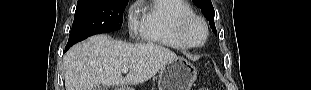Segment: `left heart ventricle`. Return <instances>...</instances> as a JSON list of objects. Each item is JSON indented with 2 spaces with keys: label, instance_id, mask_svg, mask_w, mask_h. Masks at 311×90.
Instances as JSON below:
<instances>
[{
  "label": "left heart ventricle",
  "instance_id": "1",
  "mask_svg": "<svg viewBox=\"0 0 311 90\" xmlns=\"http://www.w3.org/2000/svg\"><path fill=\"white\" fill-rule=\"evenodd\" d=\"M203 28L200 24L195 23L190 27L189 35L195 42H200L203 38Z\"/></svg>",
  "mask_w": 311,
  "mask_h": 90
}]
</instances>
